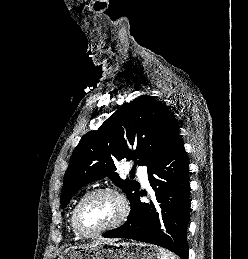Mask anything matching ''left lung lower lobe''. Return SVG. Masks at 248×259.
I'll use <instances>...</instances> for the list:
<instances>
[{
    "label": "left lung lower lobe",
    "mask_w": 248,
    "mask_h": 259,
    "mask_svg": "<svg viewBox=\"0 0 248 259\" xmlns=\"http://www.w3.org/2000/svg\"><path fill=\"white\" fill-rule=\"evenodd\" d=\"M189 163L183 142L161 157L148 172L161 212L153 203L140 201L142 194L131 200L126 223L103 234L106 238H128L151 243L188 259L187 227L190 216Z\"/></svg>",
    "instance_id": "0a47b994"
}]
</instances>
